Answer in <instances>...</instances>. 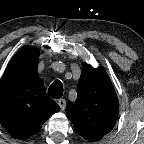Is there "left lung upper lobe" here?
<instances>
[{
	"label": "left lung upper lobe",
	"instance_id": "1",
	"mask_svg": "<svg viewBox=\"0 0 144 144\" xmlns=\"http://www.w3.org/2000/svg\"><path fill=\"white\" fill-rule=\"evenodd\" d=\"M119 111L118 99L103 68L85 64L77 87V100L66 106L67 117L76 132L95 142L114 127Z\"/></svg>",
	"mask_w": 144,
	"mask_h": 144
}]
</instances>
